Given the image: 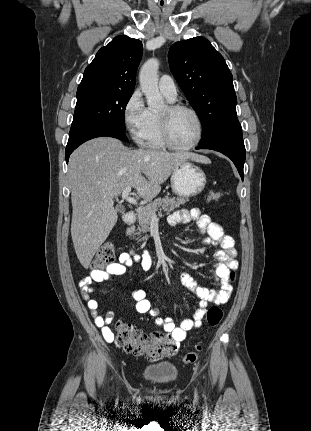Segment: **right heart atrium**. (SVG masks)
Instances as JSON below:
<instances>
[{
  "instance_id": "right-heart-atrium-1",
  "label": "right heart atrium",
  "mask_w": 311,
  "mask_h": 431,
  "mask_svg": "<svg viewBox=\"0 0 311 431\" xmlns=\"http://www.w3.org/2000/svg\"><path fill=\"white\" fill-rule=\"evenodd\" d=\"M148 118V109L140 91L134 90L123 106V122L129 136L138 144L144 142L143 130Z\"/></svg>"
}]
</instances>
